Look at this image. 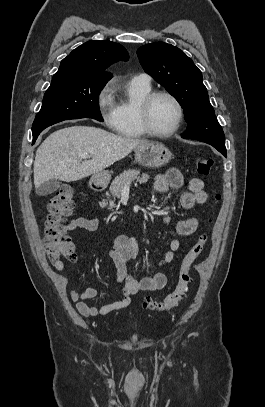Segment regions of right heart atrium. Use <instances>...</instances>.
<instances>
[{"label":"right heart atrium","instance_id":"1","mask_svg":"<svg viewBox=\"0 0 265 407\" xmlns=\"http://www.w3.org/2000/svg\"><path fill=\"white\" fill-rule=\"evenodd\" d=\"M96 105L107 127L113 128L116 121V104L113 98L112 85L105 84L96 95Z\"/></svg>","mask_w":265,"mask_h":407}]
</instances>
